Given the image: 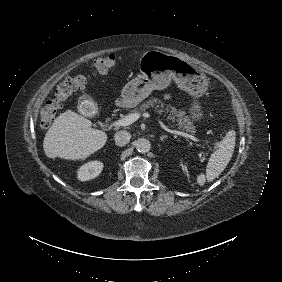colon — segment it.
Instances as JSON below:
<instances>
[{"mask_svg": "<svg viewBox=\"0 0 282 282\" xmlns=\"http://www.w3.org/2000/svg\"><path fill=\"white\" fill-rule=\"evenodd\" d=\"M117 63L113 54L98 57L93 64V71L96 74H105L112 70ZM87 81L85 75H76L62 82L56 90L53 98L42 109L39 116V124L43 128L49 127L61 109L63 102L70 97L75 91L80 89Z\"/></svg>", "mask_w": 282, "mask_h": 282, "instance_id": "1", "label": "colon"}]
</instances>
